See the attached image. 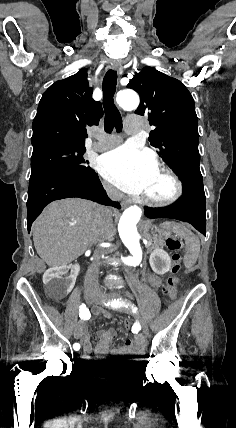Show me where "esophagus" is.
I'll return each mask as SVG.
<instances>
[{
	"label": "esophagus",
	"mask_w": 236,
	"mask_h": 428,
	"mask_svg": "<svg viewBox=\"0 0 236 428\" xmlns=\"http://www.w3.org/2000/svg\"><path fill=\"white\" fill-rule=\"evenodd\" d=\"M110 67H111L113 70H118V69H119V63H117V62H112V63H110Z\"/></svg>",
	"instance_id": "obj_1"
}]
</instances>
